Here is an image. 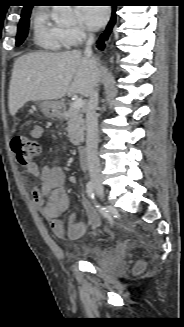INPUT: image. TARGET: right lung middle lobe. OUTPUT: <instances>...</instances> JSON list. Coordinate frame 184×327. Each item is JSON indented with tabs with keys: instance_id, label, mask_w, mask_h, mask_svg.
I'll return each instance as SVG.
<instances>
[{
	"instance_id": "obj_1",
	"label": "right lung middle lobe",
	"mask_w": 184,
	"mask_h": 327,
	"mask_svg": "<svg viewBox=\"0 0 184 327\" xmlns=\"http://www.w3.org/2000/svg\"><path fill=\"white\" fill-rule=\"evenodd\" d=\"M30 14H31V10L23 12L21 15V19L19 21L18 30H17L16 46L21 45L28 35Z\"/></svg>"
}]
</instances>
